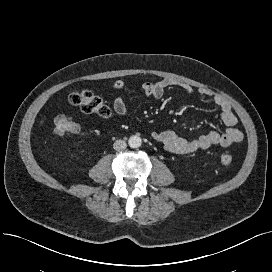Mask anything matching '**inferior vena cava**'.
<instances>
[{"label":"inferior vena cava","instance_id":"602c4592","mask_svg":"<svg viewBox=\"0 0 272 272\" xmlns=\"http://www.w3.org/2000/svg\"><path fill=\"white\" fill-rule=\"evenodd\" d=\"M126 147H127L126 142H125L124 140H121V139L116 140V141L114 142V145H113V148H114L116 151L124 150V149H126Z\"/></svg>","mask_w":272,"mask_h":272}]
</instances>
